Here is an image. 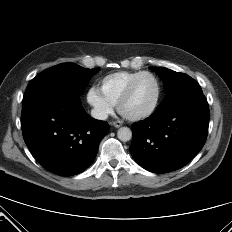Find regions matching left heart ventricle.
Wrapping results in <instances>:
<instances>
[{
  "label": "left heart ventricle",
  "instance_id": "1",
  "mask_svg": "<svg viewBox=\"0 0 232 232\" xmlns=\"http://www.w3.org/2000/svg\"><path fill=\"white\" fill-rule=\"evenodd\" d=\"M157 85L150 76L141 77L131 97L125 102L122 110L127 115H137L148 110L155 101Z\"/></svg>",
  "mask_w": 232,
  "mask_h": 232
}]
</instances>
